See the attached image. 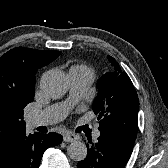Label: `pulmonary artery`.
<instances>
[{
	"mask_svg": "<svg viewBox=\"0 0 168 168\" xmlns=\"http://www.w3.org/2000/svg\"><path fill=\"white\" fill-rule=\"evenodd\" d=\"M69 76L71 80L69 99L29 116L27 119L29 128L53 124L64 119L70 107L83 96L94 80L93 73L87 71L71 72ZM93 136L94 139H97L100 136V131H95Z\"/></svg>",
	"mask_w": 168,
	"mask_h": 168,
	"instance_id": "e3ab8cb5",
	"label": "pulmonary artery"
}]
</instances>
